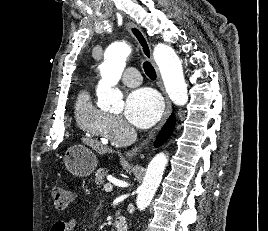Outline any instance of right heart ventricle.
Returning <instances> with one entry per match:
<instances>
[{"label":"right heart ventricle","instance_id":"1","mask_svg":"<svg viewBox=\"0 0 268 231\" xmlns=\"http://www.w3.org/2000/svg\"><path fill=\"white\" fill-rule=\"evenodd\" d=\"M74 113L79 128L87 136L106 141V128L110 115L93 103L88 89L80 91Z\"/></svg>","mask_w":268,"mask_h":231}]
</instances>
